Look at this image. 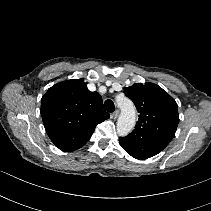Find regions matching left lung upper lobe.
Here are the masks:
<instances>
[{
	"label": "left lung upper lobe",
	"mask_w": 211,
	"mask_h": 211,
	"mask_svg": "<svg viewBox=\"0 0 211 211\" xmlns=\"http://www.w3.org/2000/svg\"><path fill=\"white\" fill-rule=\"evenodd\" d=\"M139 112L131 134L119 138L121 147L136 159L160 153L175 135L179 114L175 100L153 83H135L124 88Z\"/></svg>",
	"instance_id": "obj_1"
}]
</instances>
